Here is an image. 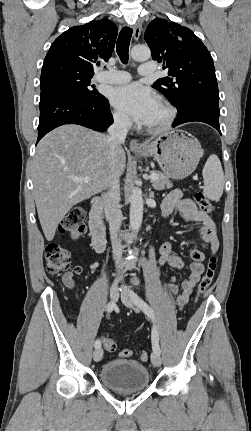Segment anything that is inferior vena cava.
I'll return each instance as SVG.
<instances>
[{
    "instance_id": "602c4592",
    "label": "inferior vena cava",
    "mask_w": 251,
    "mask_h": 431,
    "mask_svg": "<svg viewBox=\"0 0 251 431\" xmlns=\"http://www.w3.org/2000/svg\"><path fill=\"white\" fill-rule=\"evenodd\" d=\"M131 125L132 123L130 118L125 115H117L114 117V123L108 129V141L110 143L112 159L115 157L116 149L125 142L127 132ZM119 186V176L113 177L108 187V191L102 197L106 218L109 221L113 255L116 263H119L122 257V245L117 237L121 222L123 220L119 205ZM119 278L122 277L120 276Z\"/></svg>"
}]
</instances>
